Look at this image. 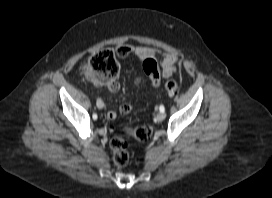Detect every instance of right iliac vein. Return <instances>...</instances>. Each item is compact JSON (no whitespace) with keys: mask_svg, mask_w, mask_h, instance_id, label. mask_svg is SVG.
I'll return each mask as SVG.
<instances>
[{"mask_svg":"<svg viewBox=\"0 0 272 198\" xmlns=\"http://www.w3.org/2000/svg\"><path fill=\"white\" fill-rule=\"evenodd\" d=\"M98 108H102L101 106H99V104H97Z\"/></svg>","mask_w":272,"mask_h":198,"instance_id":"obj_1","label":"right iliac vein"}]
</instances>
